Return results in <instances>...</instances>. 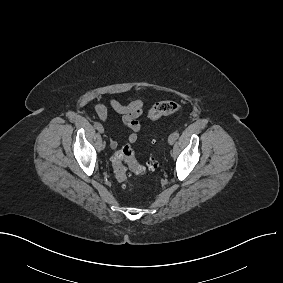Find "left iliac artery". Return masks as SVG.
Returning <instances> with one entry per match:
<instances>
[{"instance_id":"44dca946","label":"left iliac artery","mask_w":283,"mask_h":283,"mask_svg":"<svg viewBox=\"0 0 283 283\" xmlns=\"http://www.w3.org/2000/svg\"><path fill=\"white\" fill-rule=\"evenodd\" d=\"M175 136H176V138L179 137V132L178 131L175 132Z\"/></svg>"}]
</instances>
